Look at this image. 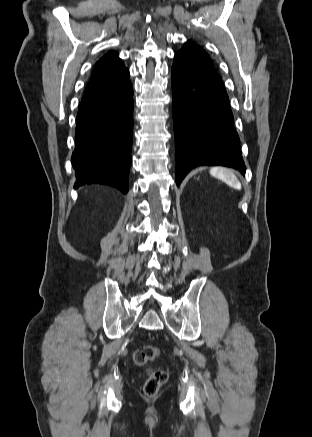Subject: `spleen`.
Masks as SVG:
<instances>
[{"instance_id": "1", "label": "spleen", "mask_w": 312, "mask_h": 437, "mask_svg": "<svg viewBox=\"0 0 312 437\" xmlns=\"http://www.w3.org/2000/svg\"><path fill=\"white\" fill-rule=\"evenodd\" d=\"M210 174L222 180L232 188L241 189L239 180L231 170L214 167L210 170Z\"/></svg>"}]
</instances>
